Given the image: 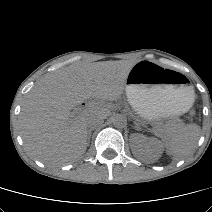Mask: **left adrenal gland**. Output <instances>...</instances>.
Returning <instances> with one entry per match:
<instances>
[{
    "instance_id": "obj_1",
    "label": "left adrenal gland",
    "mask_w": 212,
    "mask_h": 212,
    "mask_svg": "<svg viewBox=\"0 0 212 212\" xmlns=\"http://www.w3.org/2000/svg\"><path fill=\"white\" fill-rule=\"evenodd\" d=\"M134 129L139 130L138 124H136V125L134 126Z\"/></svg>"
}]
</instances>
